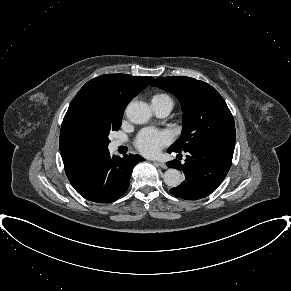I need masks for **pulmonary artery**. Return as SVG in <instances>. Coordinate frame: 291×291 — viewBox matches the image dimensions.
<instances>
[{
  "mask_svg": "<svg viewBox=\"0 0 291 291\" xmlns=\"http://www.w3.org/2000/svg\"><path fill=\"white\" fill-rule=\"evenodd\" d=\"M172 102L163 100V101H152V108L157 116L159 117H165L167 116L170 111L172 110ZM122 143L120 141H114L113 147L117 148Z\"/></svg>",
  "mask_w": 291,
  "mask_h": 291,
  "instance_id": "1",
  "label": "pulmonary artery"
}]
</instances>
